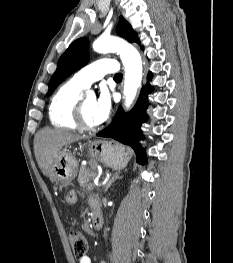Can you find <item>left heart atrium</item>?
Here are the masks:
<instances>
[{
	"instance_id": "obj_1",
	"label": "left heart atrium",
	"mask_w": 233,
	"mask_h": 263,
	"mask_svg": "<svg viewBox=\"0 0 233 263\" xmlns=\"http://www.w3.org/2000/svg\"><path fill=\"white\" fill-rule=\"evenodd\" d=\"M111 106V95L109 91L103 87L94 102L92 110V120L95 125L101 124L108 118L111 112Z\"/></svg>"
}]
</instances>
